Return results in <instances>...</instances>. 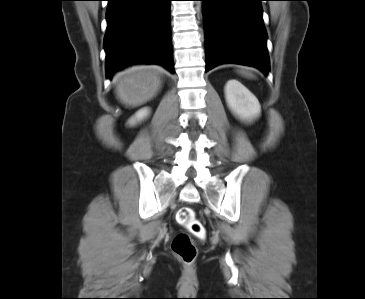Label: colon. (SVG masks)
I'll return each mask as SVG.
<instances>
[{"label": "colon", "instance_id": "5ec220e1", "mask_svg": "<svg viewBox=\"0 0 365 299\" xmlns=\"http://www.w3.org/2000/svg\"><path fill=\"white\" fill-rule=\"evenodd\" d=\"M177 222L187 229V232L178 233L172 240L171 248L174 254L183 262L190 264L197 257V248L190 234L203 237L205 228L196 218L191 207H182L177 213Z\"/></svg>", "mask_w": 365, "mask_h": 299}]
</instances>
